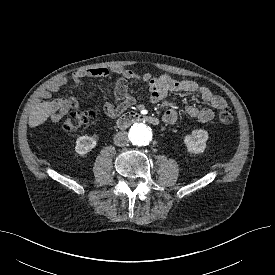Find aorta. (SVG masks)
I'll use <instances>...</instances> for the list:
<instances>
[{
  "mask_svg": "<svg viewBox=\"0 0 275 275\" xmlns=\"http://www.w3.org/2000/svg\"><path fill=\"white\" fill-rule=\"evenodd\" d=\"M132 143L137 146L148 145L152 138L151 128L144 123L134 124L129 132Z\"/></svg>",
  "mask_w": 275,
  "mask_h": 275,
  "instance_id": "aorta-1",
  "label": "aorta"
}]
</instances>
